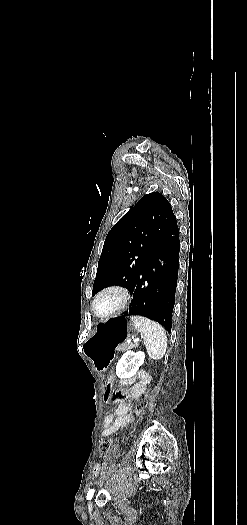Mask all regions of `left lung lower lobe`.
Returning <instances> with one entry per match:
<instances>
[{
  "label": "left lung lower lobe",
  "instance_id": "left-lung-lower-lobe-1",
  "mask_svg": "<svg viewBox=\"0 0 247 525\" xmlns=\"http://www.w3.org/2000/svg\"><path fill=\"white\" fill-rule=\"evenodd\" d=\"M179 229L173 216L154 238L147 261L129 287L133 295L128 315L159 322L171 332V316L179 268Z\"/></svg>",
  "mask_w": 247,
  "mask_h": 525
}]
</instances>
